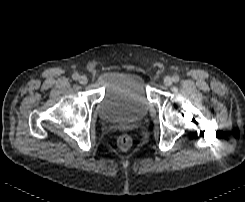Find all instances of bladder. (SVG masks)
<instances>
[{
  "label": "bladder",
  "instance_id": "obj_1",
  "mask_svg": "<svg viewBox=\"0 0 245 202\" xmlns=\"http://www.w3.org/2000/svg\"><path fill=\"white\" fill-rule=\"evenodd\" d=\"M104 95L99 117L105 123L138 120L148 112L150 101L143 74L130 70L100 72Z\"/></svg>",
  "mask_w": 245,
  "mask_h": 202
}]
</instances>
